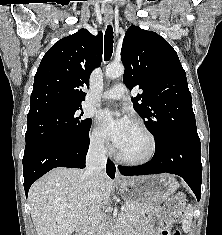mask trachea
Returning <instances> with one entry per match:
<instances>
[{
    "label": "trachea",
    "mask_w": 222,
    "mask_h": 235,
    "mask_svg": "<svg viewBox=\"0 0 222 235\" xmlns=\"http://www.w3.org/2000/svg\"><path fill=\"white\" fill-rule=\"evenodd\" d=\"M113 28L111 25L107 26V30L105 31V38H104V58L105 61H109L112 53H113Z\"/></svg>",
    "instance_id": "1"
}]
</instances>
